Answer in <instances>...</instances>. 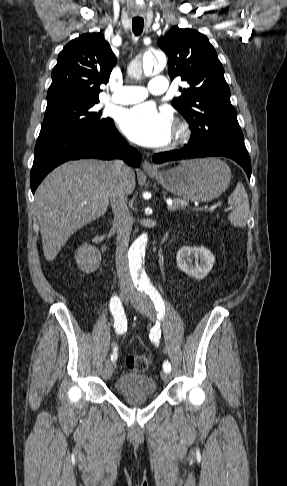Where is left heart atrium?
Masks as SVG:
<instances>
[{
  "mask_svg": "<svg viewBox=\"0 0 287 486\" xmlns=\"http://www.w3.org/2000/svg\"><path fill=\"white\" fill-rule=\"evenodd\" d=\"M119 125L130 140L143 146L160 147L171 138V115L158 111L152 103H142L124 110Z\"/></svg>",
  "mask_w": 287,
  "mask_h": 486,
  "instance_id": "obj_1",
  "label": "left heart atrium"
}]
</instances>
